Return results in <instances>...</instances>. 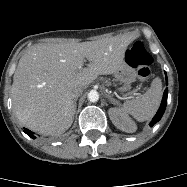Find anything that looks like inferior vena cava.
I'll list each match as a JSON object with an SVG mask.
<instances>
[{"label": "inferior vena cava", "instance_id": "inferior-vena-cava-1", "mask_svg": "<svg viewBox=\"0 0 187 187\" xmlns=\"http://www.w3.org/2000/svg\"><path fill=\"white\" fill-rule=\"evenodd\" d=\"M82 92H83V88L77 87L71 91L70 95L72 98H78L82 94Z\"/></svg>", "mask_w": 187, "mask_h": 187}]
</instances>
